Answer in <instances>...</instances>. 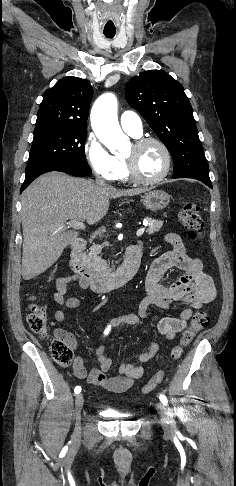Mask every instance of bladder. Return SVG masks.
Listing matches in <instances>:
<instances>
[{
	"mask_svg": "<svg viewBox=\"0 0 236 486\" xmlns=\"http://www.w3.org/2000/svg\"><path fill=\"white\" fill-rule=\"evenodd\" d=\"M102 413L104 415H106L107 417H114V418H120V419H126V418H129L130 417V414L129 413H125V412H121V411H118V410H115V409H104L102 411Z\"/></svg>",
	"mask_w": 236,
	"mask_h": 486,
	"instance_id": "bladder-1",
	"label": "bladder"
}]
</instances>
